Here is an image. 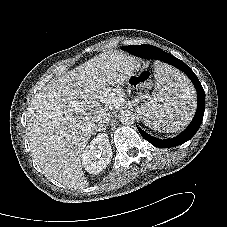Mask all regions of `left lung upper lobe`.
I'll use <instances>...</instances> for the list:
<instances>
[{"label":"left lung upper lobe","instance_id":"obj_1","mask_svg":"<svg viewBox=\"0 0 227 227\" xmlns=\"http://www.w3.org/2000/svg\"><path fill=\"white\" fill-rule=\"evenodd\" d=\"M129 47H132V45H130V46H124V47H122V49L126 51Z\"/></svg>","mask_w":227,"mask_h":227}]
</instances>
